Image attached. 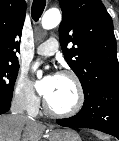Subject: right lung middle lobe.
<instances>
[{
    "instance_id": "1",
    "label": "right lung middle lobe",
    "mask_w": 119,
    "mask_h": 141,
    "mask_svg": "<svg viewBox=\"0 0 119 141\" xmlns=\"http://www.w3.org/2000/svg\"><path fill=\"white\" fill-rule=\"evenodd\" d=\"M19 65L15 62H0V97L12 99Z\"/></svg>"
}]
</instances>
